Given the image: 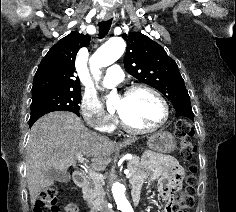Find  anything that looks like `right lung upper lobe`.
Masks as SVG:
<instances>
[{"mask_svg":"<svg viewBox=\"0 0 236 212\" xmlns=\"http://www.w3.org/2000/svg\"><path fill=\"white\" fill-rule=\"evenodd\" d=\"M90 38L75 31L59 40L40 62L34 77L32 95L46 91H78L75 58L80 48L88 46Z\"/></svg>","mask_w":236,"mask_h":212,"instance_id":"right-lung-upper-lobe-1","label":"right lung upper lobe"}]
</instances>
